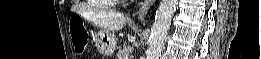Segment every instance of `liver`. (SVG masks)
Segmentation results:
<instances>
[{
    "mask_svg": "<svg viewBox=\"0 0 261 59\" xmlns=\"http://www.w3.org/2000/svg\"><path fill=\"white\" fill-rule=\"evenodd\" d=\"M92 22L104 31L121 30L127 23L128 18L118 12H99L92 16Z\"/></svg>",
    "mask_w": 261,
    "mask_h": 59,
    "instance_id": "6515ba94",
    "label": "liver"
}]
</instances>
